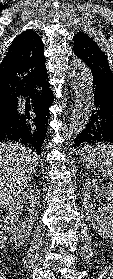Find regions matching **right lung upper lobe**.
I'll return each mask as SVG.
<instances>
[{
  "instance_id": "1",
  "label": "right lung upper lobe",
  "mask_w": 113,
  "mask_h": 279,
  "mask_svg": "<svg viewBox=\"0 0 113 279\" xmlns=\"http://www.w3.org/2000/svg\"><path fill=\"white\" fill-rule=\"evenodd\" d=\"M46 74L41 38L33 30L22 32L0 64V109L15 106Z\"/></svg>"
}]
</instances>
